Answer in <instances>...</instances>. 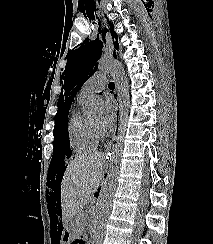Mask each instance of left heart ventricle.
Masks as SVG:
<instances>
[{"instance_id":"left-heart-ventricle-1","label":"left heart ventricle","mask_w":213,"mask_h":244,"mask_svg":"<svg viewBox=\"0 0 213 244\" xmlns=\"http://www.w3.org/2000/svg\"><path fill=\"white\" fill-rule=\"evenodd\" d=\"M92 122L99 125L100 124V117L93 118Z\"/></svg>"}]
</instances>
